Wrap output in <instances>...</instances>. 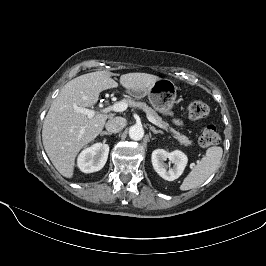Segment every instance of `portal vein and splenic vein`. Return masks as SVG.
<instances>
[{"label":"portal vein and splenic vein","mask_w":266,"mask_h":266,"mask_svg":"<svg viewBox=\"0 0 266 266\" xmlns=\"http://www.w3.org/2000/svg\"><path fill=\"white\" fill-rule=\"evenodd\" d=\"M128 107V104L124 101H121V102H117L113 105H110L102 110H100V113H108V112H111V111H114V112H123L127 109ZM74 110L77 112V113H82L84 115H86L88 118H93L95 116V114L97 113L96 111L94 110H91V109H87V108H82V107H78V106H74ZM147 118L148 120L153 123L154 125H157L159 126L160 128H164L167 130V128L161 126L153 117L147 115Z\"/></svg>","instance_id":"18ae733b"}]
</instances>
